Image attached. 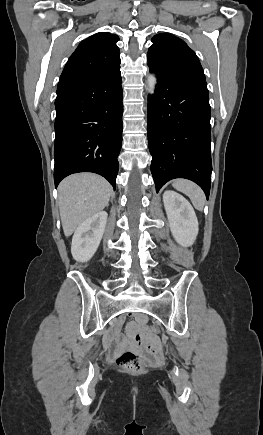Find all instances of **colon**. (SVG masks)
I'll list each match as a JSON object with an SVG mask.
<instances>
[{
    "mask_svg": "<svg viewBox=\"0 0 263 435\" xmlns=\"http://www.w3.org/2000/svg\"><path fill=\"white\" fill-rule=\"evenodd\" d=\"M148 328L151 332H155L156 335L160 334V331L157 330L153 324H149ZM115 363L121 369L129 373H138L143 369L141 357L132 351H125L118 355L115 359Z\"/></svg>",
    "mask_w": 263,
    "mask_h": 435,
    "instance_id": "1",
    "label": "colon"
}]
</instances>
